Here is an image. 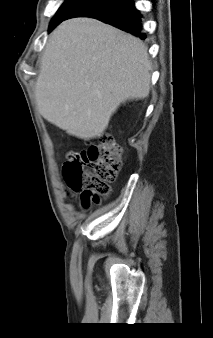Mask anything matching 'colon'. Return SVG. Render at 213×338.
<instances>
[{
	"label": "colon",
	"instance_id": "colon-1",
	"mask_svg": "<svg viewBox=\"0 0 213 338\" xmlns=\"http://www.w3.org/2000/svg\"><path fill=\"white\" fill-rule=\"evenodd\" d=\"M122 158L121 147L109 135L71 153L63 164L62 176L71 192H82L83 209L88 210L91 203L98 204L109 194L110 183L119 175Z\"/></svg>",
	"mask_w": 213,
	"mask_h": 338
}]
</instances>
